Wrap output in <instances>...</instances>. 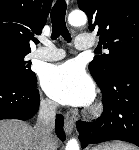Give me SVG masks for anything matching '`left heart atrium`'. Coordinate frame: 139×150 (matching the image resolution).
I'll return each instance as SVG.
<instances>
[{
  "mask_svg": "<svg viewBox=\"0 0 139 150\" xmlns=\"http://www.w3.org/2000/svg\"><path fill=\"white\" fill-rule=\"evenodd\" d=\"M41 84L47 95L61 104L86 106L95 96L92 80L74 61L47 67Z\"/></svg>",
  "mask_w": 139,
  "mask_h": 150,
  "instance_id": "1",
  "label": "left heart atrium"
}]
</instances>
